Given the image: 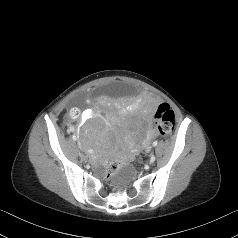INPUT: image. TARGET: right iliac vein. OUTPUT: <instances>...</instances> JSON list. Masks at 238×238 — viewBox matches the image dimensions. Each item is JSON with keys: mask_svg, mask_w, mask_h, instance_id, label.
Listing matches in <instances>:
<instances>
[{"mask_svg": "<svg viewBox=\"0 0 238 238\" xmlns=\"http://www.w3.org/2000/svg\"><path fill=\"white\" fill-rule=\"evenodd\" d=\"M77 154H78L79 158H82V157H83V154H82L81 151H77Z\"/></svg>", "mask_w": 238, "mask_h": 238, "instance_id": "1", "label": "right iliac vein"}]
</instances>
